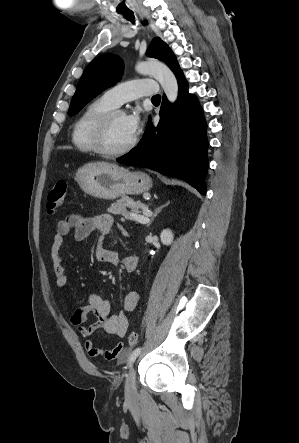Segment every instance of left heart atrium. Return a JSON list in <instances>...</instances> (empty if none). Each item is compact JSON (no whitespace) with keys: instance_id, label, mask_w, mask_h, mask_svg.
<instances>
[{"instance_id":"1","label":"left heart atrium","mask_w":299,"mask_h":443,"mask_svg":"<svg viewBox=\"0 0 299 443\" xmlns=\"http://www.w3.org/2000/svg\"><path fill=\"white\" fill-rule=\"evenodd\" d=\"M126 122L132 133L136 134L141 127V116L138 110L126 116Z\"/></svg>"}]
</instances>
